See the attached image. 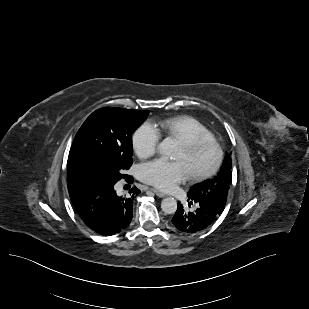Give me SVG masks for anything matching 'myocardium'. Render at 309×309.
Segmentation results:
<instances>
[{"mask_svg":"<svg viewBox=\"0 0 309 309\" xmlns=\"http://www.w3.org/2000/svg\"><path fill=\"white\" fill-rule=\"evenodd\" d=\"M183 147L188 156L193 157L201 152L208 150L211 152L212 157L210 162L195 171H192L191 178L194 180H202L214 174L219 168L222 158L223 151L220 144L214 139H198L193 141L183 142Z\"/></svg>","mask_w":309,"mask_h":309,"instance_id":"myocardium-1","label":"myocardium"}]
</instances>
